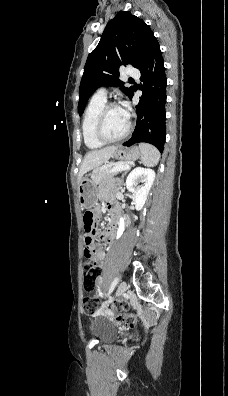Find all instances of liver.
<instances>
[{
	"label": "liver",
	"mask_w": 228,
	"mask_h": 396,
	"mask_svg": "<svg viewBox=\"0 0 228 396\" xmlns=\"http://www.w3.org/2000/svg\"><path fill=\"white\" fill-rule=\"evenodd\" d=\"M118 149L116 146H108L100 150H94L88 152L82 162L79 174L78 182L81 181L82 177L88 171L98 168L103 163L108 162V160L113 156V153Z\"/></svg>",
	"instance_id": "1"
}]
</instances>
